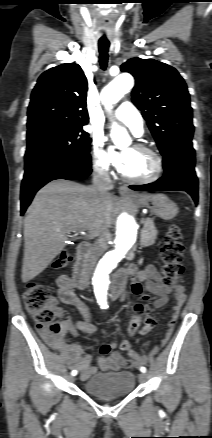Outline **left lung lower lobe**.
Instances as JSON below:
<instances>
[{"instance_id": "left-lung-lower-lobe-1", "label": "left lung lower lobe", "mask_w": 212, "mask_h": 438, "mask_svg": "<svg viewBox=\"0 0 212 438\" xmlns=\"http://www.w3.org/2000/svg\"><path fill=\"white\" fill-rule=\"evenodd\" d=\"M164 176L154 183L131 185L136 191H187L197 204L198 179L195 173V150L192 142L173 145L163 155Z\"/></svg>"}]
</instances>
